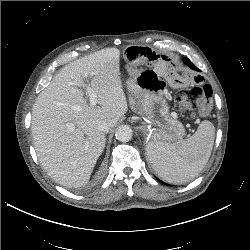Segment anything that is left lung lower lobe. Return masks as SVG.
Segmentation results:
<instances>
[{
	"label": "left lung lower lobe",
	"instance_id": "obj_1",
	"mask_svg": "<svg viewBox=\"0 0 250 250\" xmlns=\"http://www.w3.org/2000/svg\"><path fill=\"white\" fill-rule=\"evenodd\" d=\"M184 60V62H185V64H187L189 67H191L192 69H194V70H199L198 68H196L195 66H194V64L188 59V58H184L183 59ZM159 180V179H158ZM160 181V180H159ZM160 182H162V181H160ZM165 184V183H164Z\"/></svg>",
	"mask_w": 250,
	"mask_h": 250
}]
</instances>
